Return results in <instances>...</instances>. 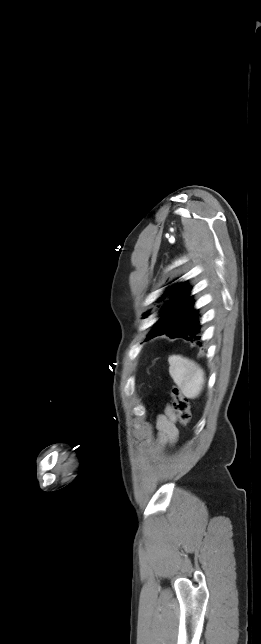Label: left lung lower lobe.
<instances>
[{
	"instance_id": "1",
	"label": "left lung lower lobe",
	"mask_w": 261,
	"mask_h": 644,
	"mask_svg": "<svg viewBox=\"0 0 261 644\" xmlns=\"http://www.w3.org/2000/svg\"><path fill=\"white\" fill-rule=\"evenodd\" d=\"M200 329L201 325L197 313L191 321L172 331L168 336L171 338L180 337L191 342H197V344L201 345L202 341Z\"/></svg>"
}]
</instances>
